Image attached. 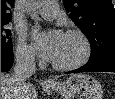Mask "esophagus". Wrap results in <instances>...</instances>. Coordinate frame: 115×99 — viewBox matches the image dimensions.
<instances>
[{"label":"esophagus","instance_id":"esophagus-1","mask_svg":"<svg viewBox=\"0 0 115 99\" xmlns=\"http://www.w3.org/2000/svg\"><path fill=\"white\" fill-rule=\"evenodd\" d=\"M46 82H47V83H54V80L51 79V78H48V79H46Z\"/></svg>","mask_w":115,"mask_h":99}]
</instances>
